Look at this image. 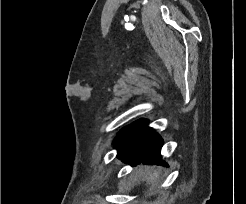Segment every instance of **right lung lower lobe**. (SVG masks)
<instances>
[{
    "mask_svg": "<svg viewBox=\"0 0 246 204\" xmlns=\"http://www.w3.org/2000/svg\"><path fill=\"white\" fill-rule=\"evenodd\" d=\"M148 120L140 119L123 128L117 137V157L125 163L157 164L168 166L161 160L162 138L147 126Z\"/></svg>",
    "mask_w": 246,
    "mask_h": 204,
    "instance_id": "obj_1",
    "label": "right lung lower lobe"
}]
</instances>
